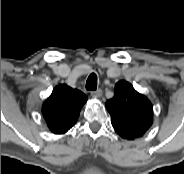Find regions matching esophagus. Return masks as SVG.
<instances>
[{"label":"esophagus","mask_w":184,"mask_h":174,"mask_svg":"<svg viewBox=\"0 0 184 174\" xmlns=\"http://www.w3.org/2000/svg\"><path fill=\"white\" fill-rule=\"evenodd\" d=\"M91 96L92 97H95V98H100L102 96V90L101 89H98L96 91H92L91 92Z\"/></svg>","instance_id":"esophagus-1"}]
</instances>
